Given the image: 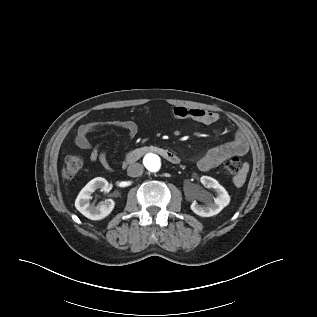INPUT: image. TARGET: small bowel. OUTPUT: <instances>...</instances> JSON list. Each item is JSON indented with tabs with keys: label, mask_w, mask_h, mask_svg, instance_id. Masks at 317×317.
Instances as JSON below:
<instances>
[{
	"label": "small bowel",
	"mask_w": 317,
	"mask_h": 317,
	"mask_svg": "<svg viewBox=\"0 0 317 317\" xmlns=\"http://www.w3.org/2000/svg\"><path fill=\"white\" fill-rule=\"evenodd\" d=\"M172 114L177 119H192L204 125H212L219 120V114L213 111L201 108H187L185 106H175ZM114 126L126 130L129 138H133L138 133L137 124L132 120H119L113 122ZM100 129L99 124L86 123L81 125L75 137L76 146L83 151H89V158L92 162H99L106 170H111L107 160L106 151L100 144L93 145L88 135L91 132ZM249 150L246 137L240 131H237L231 142L220 145L208 150L202 157L197 160V167L200 171L207 172L212 168L220 165L231 157L244 156ZM243 183V177L235 180V184Z\"/></svg>",
	"instance_id": "1"
}]
</instances>
